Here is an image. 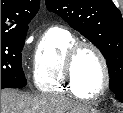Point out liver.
Segmentation results:
<instances>
[{
    "mask_svg": "<svg viewBox=\"0 0 123 113\" xmlns=\"http://www.w3.org/2000/svg\"><path fill=\"white\" fill-rule=\"evenodd\" d=\"M83 106L61 95H29L1 90V113H76Z\"/></svg>",
    "mask_w": 123,
    "mask_h": 113,
    "instance_id": "1",
    "label": "liver"
}]
</instances>
